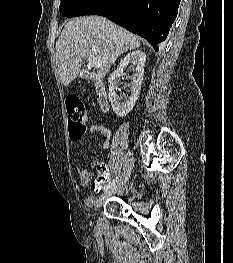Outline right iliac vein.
<instances>
[{
    "label": "right iliac vein",
    "mask_w": 233,
    "mask_h": 263,
    "mask_svg": "<svg viewBox=\"0 0 233 263\" xmlns=\"http://www.w3.org/2000/svg\"><path fill=\"white\" fill-rule=\"evenodd\" d=\"M134 167V159L130 158L127 163L125 164V168L123 170V173L121 177L117 180V182L108 190H106L101 196L99 197V201L97 203V207L100 208L104 201L112 194L116 193L118 190H120L123 185L127 182L129 179Z\"/></svg>",
    "instance_id": "63e3f726"
}]
</instances>
